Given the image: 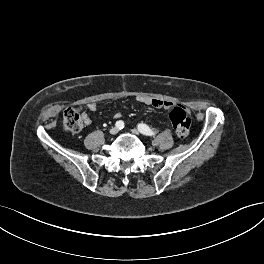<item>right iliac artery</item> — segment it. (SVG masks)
<instances>
[{"label":"right iliac artery","mask_w":264,"mask_h":264,"mask_svg":"<svg viewBox=\"0 0 264 264\" xmlns=\"http://www.w3.org/2000/svg\"><path fill=\"white\" fill-rule=\"evenodd\" d=\"M115 125L118 129H122L124 127V122L122 120H119Z\"/></svg>","instance_id":"1"}]
</instances>
